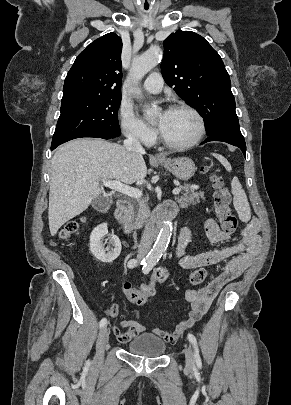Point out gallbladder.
<instances>
[{
	"instance_id": "obj_1",
	"label": "gallbladder",
	"mask_w": 291,
	"mask_h": 405,
	"mask_svg": "<svg viewBox=\"0 0 291 405\" xmlns=\"http://www.w3.org/2000/svg\"><path fill=\"white\" fill-rule=\"evenodd\" d=\"M111 205V199L105 196H99L92 201V207L97 211H105L109 209Z\"/></svg>"
}]
</instances>
